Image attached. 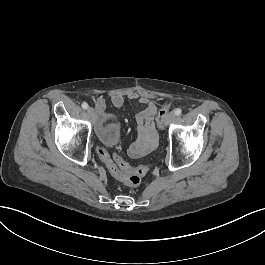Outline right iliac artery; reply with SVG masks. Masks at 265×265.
<instances>
[{
	"instance_id": "82829eb1",
	"label": "right iliac artery",
	"mask_w": 265,
	"mask_h": 265,
	"mask_svg": "<svg viewBox=\"0 0 265 265\" xmlns=\"http://www.w3.org/2000/svg\"><path fill=\"white\" fill-rule=\"evenodd\" d=\"M82 108H83V109H87V108H88V104H87L86 102H83V103H82Z\"/></svg>"
}]
</instances>
